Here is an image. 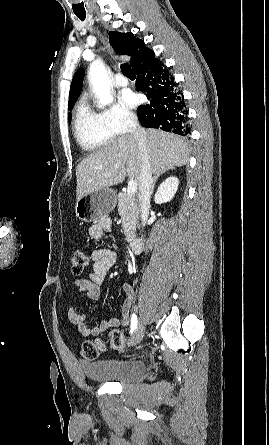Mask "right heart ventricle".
<instances>
[{"label": "right heart ventricle", "mask_w": 269, "mask_h": 445, "mask_svg": "<svg viewBox=\"0 0 269 445\" xmlns=\"http://www.w3.org/2000/svg\"><path fill=\"white\" fill-rule=\"evenodd\" d=\"M73 130L78 144L86 151L97 150L114 138L100 113L94 111L85 99H81L75 107Z\"/></svg>", "instance_id": "right-heart-ventricle-1"}]
</instances>
